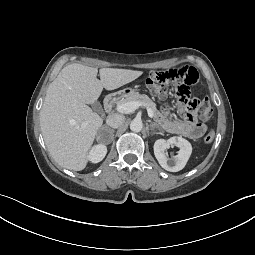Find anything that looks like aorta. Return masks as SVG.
Returning <instances> with one entry per match:
<instances>
[{"label": "aorta", "instance_id": "1", "mask_svg": "<svg viewBox=\"0 0 255 255\" xmlns=\"http://www.w3.org/2000/svg\"><path fill=\"white\" fill-rule=\"evenodd\" d=\"M143 123L139 119H133L130 123V129L133 132H140L142 130Z\"/></svg>", "mask_w": 255, "mask_h": 255}]
</instances>
